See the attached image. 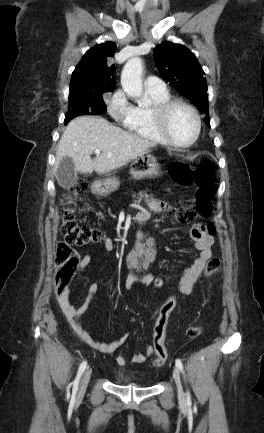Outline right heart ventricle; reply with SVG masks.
Instances as JSON below:
<instances>
[{
    "mask_svg": "<svg viewBox=\"0 0 264 433\" xmlns=\"http://www.w3.org/2000/svg\"><path fill=\"white\" fill-rule=\"evenodd\" d=\"M148 94L152 100V105L150 107L135 106L134 114L130 121L125 124V127L140 138L165 144V141L156 128L151 109L154 105L170 100V95L168 91L165 93H153L148 91Z\"/></svg>",
    "mask_w": 264,
    "mask_h": 433,
    "instance_id": "e07e8e85",
    "label": "right heart ventricle"
}]
</instances>
